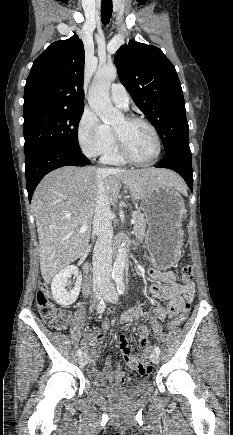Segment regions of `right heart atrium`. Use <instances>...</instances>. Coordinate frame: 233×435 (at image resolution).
Masks as SVG:
<instances>
[{"instance_id": "1", "label": "right heart atrium", "mask_w": 233, "mask_h": 435, "mask_svg": "<svg viewBox=\"0 0 233 435\" xmlns=\"http://www.w3.org/2000/svg\"><path fill=\"white\" fill-rule=\"evenodd\" d=\"M77 140L82 151L89 157L103 155L111 145V133L95 112L86 109L79 120Z\"/></svg>"}]
</instances>
